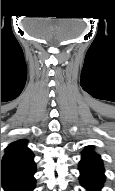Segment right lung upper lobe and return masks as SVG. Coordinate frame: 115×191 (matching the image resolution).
I'll use <instances>...</instances> for the list:
<instances>
[{"label": "right lung upper lobe", "mask_w": 115, "mask_h": 191, "mask_svg": "<svg viewBox=\"0 0 115 191\" xmlns=\"http://www.w3.org/2000/svg\"><path fill=\"white\" fill-rule=\"evenodd\" d=\"M26 145L27 141L18 140L5 149L1 161V175L28 172L36 168L34 154Z\"/></svg>", "instance_id": "right-lung-upper-lobe-1"}]
</instances>
